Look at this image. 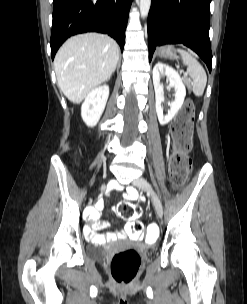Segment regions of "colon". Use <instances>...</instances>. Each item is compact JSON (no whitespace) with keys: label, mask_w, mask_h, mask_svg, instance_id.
I'll list each match as a JSON object with an SVG mask.
<instances>
[{"label":"colon","mask_w":247,"mask_h":304,"mask_svg":"<svg viewBox=\"0 0 247 304\" xmlns=\"http://www.w3.org/2000/svg\"><path fill=\"white\" fill-rule=\"evenodd\" d=\"M195 107L187 100L171 124L173 152L168 162V172L174 187L184 185L191 167L189 152L192 147V131ZM120 217L129 220L128 235L130 241H142L143 226L138 221L141 209L129 202H121L117 207ZM149 238H160L159 224H146ZM143 246H154V239H143ZM141 264V256L134 248L115 253L110 262L114 280L121 285H128L135 278Z\"/></svg>","instance_id":"5ec220e1"}]
</instances>
